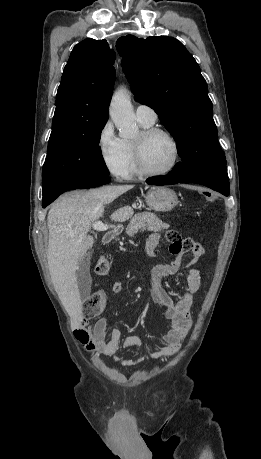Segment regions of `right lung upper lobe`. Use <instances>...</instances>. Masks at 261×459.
<instances>
[{"label": "right lung upper lobe", "mask_w": 261, "mask_h": 459, "mask_svg": "<svg viewBox=\"0 0 261 459\" xmlns=\"http://www.w3.org/2000/svg\"><path fill=\"white\" fill-rule=\"evenodd\" d=\"M114 60L106 40L87 39L74 47L58 87L51 137L107 122Z\"/></svg>", "instance_id": "cb5924a9"}]
</instances>
